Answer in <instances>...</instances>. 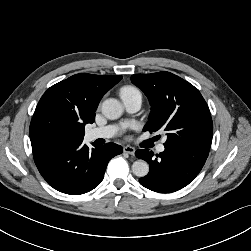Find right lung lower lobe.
Returning a JSON list of instances; mask_svg holds the SVG:
<instances>
[{"label": "right lung lower lobe", "instance_id": "98d812e1", "mask_svg": "<svg viewBox=\"0 0 251 251\" xmlns=\"http://www.w3.org/2000/svg\"><path fill=\"white\" fill-rule=\"evenodd\" d=\"M89 149L82 142L32 149L35 164L42 177L56 190L79 195L100 184L108 162L123 148L114 143L93 144Z\"/></svg>", "mask_w": 251, "mask_h": 251}]
</instances>
